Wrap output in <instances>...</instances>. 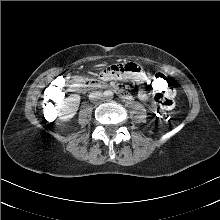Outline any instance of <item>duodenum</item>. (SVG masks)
I'll return each instance as SVG.
<instances>
[{"label":"duodenum","mask_w":220,"mask_h":220,"mask_svg":"<svg viewBox=\"0 0 220 220\" xmlns=\"http://www.w3.org/2000/svg\"><path fill=\"white\" fill-rule=\"evenodd\" d=\"M67 86L71 91H81V90L86 89L88 87V84L81 80L76 79V80L69 81ZM92 87L98 89V88H102L103 85H98V86L92 85ZM115 92L118 93L121 97H124V98L127 97V93L120 89H116Z\"/></svg>","instance_id":"obj_1"}]
</instances>
